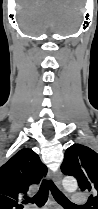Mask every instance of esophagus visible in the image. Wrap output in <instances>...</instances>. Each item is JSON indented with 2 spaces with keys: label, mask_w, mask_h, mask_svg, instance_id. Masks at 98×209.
<instances>
[{
  "label": "esophagus",
  "mask_w": 98,
  "mask_h": 209,
  "mask_svg": "<svg viewBox=\"0 0 98 209\" xmlns=\"http://www.w3.org/2000/svg\"><path fill=\"white\" fill-rule=\"evenodd\" d=\"M61 180H62V176L61 173L58 171L57 173L54 174V183L58 188L62 187Z\"/></svg>",
  "instance_id": "esophagus-1"
}]
</instances>
